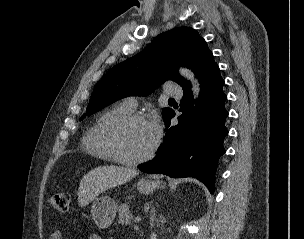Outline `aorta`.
I'll use <instances>...</instances> for the list:
<instances>
[{
    "instance_id": "762f6f07",
    "label": "aorta",
    "mask_w": 304,
    "mask_h": 239,
    "mask_svg": "<svg viewBox=\"0 0 304 239\" xmlns=\"http://www.w3.org/2000/svg\"><path fill=\"white\" fill-rule=\"evenodd\" d=\"M179 72L184 78L191 81L192 92L194 95V99L196 100L199 96L200 86L197 79L194 77V74L191 72V70L187 68H180Z\"/></svg>"
}]
</instances>
